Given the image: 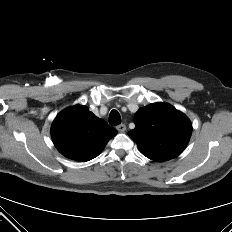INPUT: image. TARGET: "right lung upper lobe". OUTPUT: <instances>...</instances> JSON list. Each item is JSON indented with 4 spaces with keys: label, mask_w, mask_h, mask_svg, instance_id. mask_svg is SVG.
I'll use <instances>...</instances> for the list:
<instances>
[{
    "label": "right lung upper lobe",
    "mask_w": 232,
    "mask_h": 232,
    "mask_svg": "<svg viewBox=\"0 0 232 232\" xmlns=\"http://www.w3.org/2000/svg\"><path fill=\"white\" fill-rule=\"evenodd\" d=\"M116 134V129L81 105L59 113L51 128L53 142L60 153L80 162L95 158Z\"/></svg>",
    "instance_id": "obj_1"
}]
</instances>
